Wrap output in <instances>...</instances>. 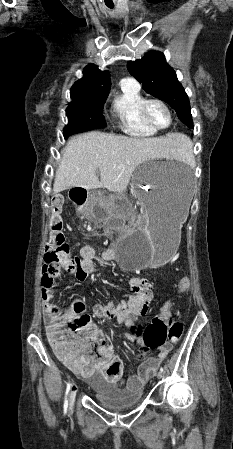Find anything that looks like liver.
I'll return each instance as SVG.
<instances>
[{
    "label": "liver",
    "instance_id": "1",
    "mask_svg": "<svg viewBox=\"0 0 233 449\" xmlns=\"http://www.w3.org/2000/svg\"><path fill=\"white\" fill-rule=\"evenodd\" d=\"M185 146L180 133H160L159 137L136 138L98 131L76 135L68 140L56 171L53 192L70 187L86 190L106 188L123 193L135 169L155 159L177 156ZM100 173V179L97 176Z\"/></svg>",
    "mask_w": 233,
    "mask_h": 449
}]
</instances>
